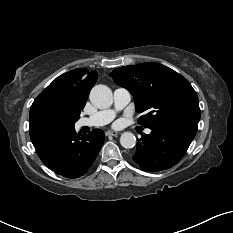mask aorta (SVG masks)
Listing matches in <instances>:
<instances>
[{
    "label": "aorta",
    "instance_id": "aorta-1",
    "mask_svg": "<svg viewBox=\"0 0 233 233\" xmlns=\"http://www.w3.org/2000/svg\"><path fill=\"white\" fill-rule=\"evenodd\" d=\"M91 103L99 108L105 109L112 105L113 96L112 91L105 85H96L90 92ZM120 144L124 148H132L136 145V137L131 132H124L120 137Z\"/></svg>",
    "mask_w": 233,
    "mask_h": 233
}]
</instances>
